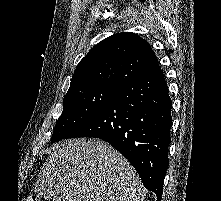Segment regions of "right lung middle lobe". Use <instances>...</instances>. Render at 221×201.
<instances>
[{
	"mask_svg": "<svg viewBox=\"0 0 221 201\" xmlns=\"http://www.w3.org/2000/svg\"><path fill=\"white\" fill-rule=\"evenodd\" d=\"M119 90L109 87H87L67 92L51 143L67 138L75 129L99 111Z\"/></svg>",
	"mask_w": 221,
	"mask_h": 201,
	"instance_id": "dd1d6c3e",
	"label": "right lung middle lobe"
}]
</instances>
